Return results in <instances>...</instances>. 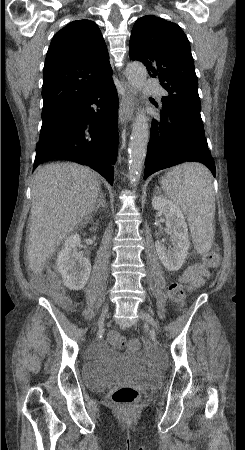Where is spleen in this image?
Instances as JSON below:
<instances>
[{
	"label": "spleen",
	"mask_w": 245,
	"mask_h": 450,
	"mask_svg": "<svg viewBox=\"0 0 245 450\" xmlns=\"http://www.w3.org/2000/svg\"><path fill=\"white\" fill-rule=\"evenodd\" d=\"M165 194L185 213L195 249L207 253L214 238L215 196L211 172L200 163L176 166L162 179Z\"/></svg>",
	"instance_id": "1"
}]
</instances>
